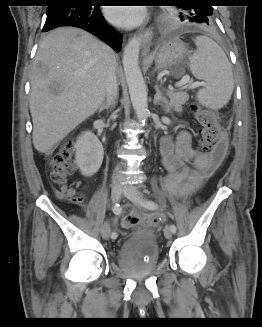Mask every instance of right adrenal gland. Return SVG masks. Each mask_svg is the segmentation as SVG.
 <instances>
[{
  "mask_svg": "<svg viewBox=\"0 0 262 327\" xmlns=\"http://www.w3.org/2000/svg\"><path fill=\"white\" fill-rule=\"evenodd\" d=\"M109 104L108 103H103L102 105H101V107L99 108V112H101V111H103V110H105V109H108L109 108Z\"/></svg>",
  "mask_w": 262,
  "mask_h": 327,
  "instance_id": "2a0ac1e0",
  "label": "right adrenal gland"
}]
</instances>
